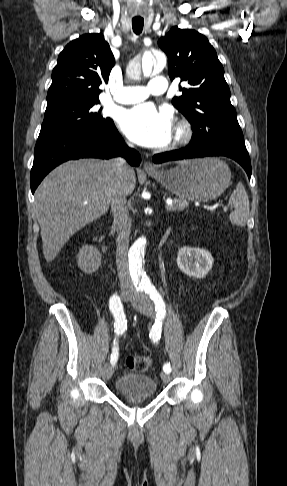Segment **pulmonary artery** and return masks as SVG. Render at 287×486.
Segmentation results:
<instances>
[{
	"mask_svg": "<svg viewBox=\"0 0 287 486\" xmlns=\"http://www.w3.org/2000/svg\"><path fill=\"white\" fill-rule=\"evenodd\" d=\"M167 89V80L162 77H154L147 86H125L119 88L113 99L121 104H132L145 100L149 95H160Z\"/></svg>",
	"mask_w": 287,
	"mask_h": 486,
	"instance_id": "1",
	"label": "pulmonary artery"
}]
</instances>
